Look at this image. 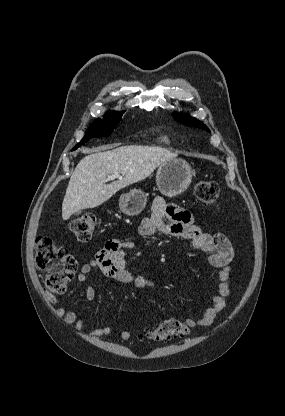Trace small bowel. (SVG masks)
<instances>
[{
    "mask_svg": "<svg viewBox=\"0 0 285 416\" xmlns=\"http://www.w3.org/2000/svg\"><path fill=\"white\" fill-rule=\"evenodd\" d=\"M139 232L145 237L162 233L189 240L194 248L209 254V263L220 269L219 294L213 298L212 304L200 318H188L185 325L190 328L210 326L225 309L226 299L230 293L228 280L234 250L229 239L220 232L213 234L204 232L200 226L195 224L188 210L168 204L160 197L153 201L151 215L142 221ZM134 247L135 243L132 241L119 238L107 240L95 257L81 266L77 281L81 284L86 283L88 275L94 269H98L103 277L124 285H133L140 288L154 286L151 280L143 276H135L127 269L124 251ZM95 295V288L88 286L85 290V299L91 301L95 298ZM46 298L53 305L58 303V299L53 293H47ZM54 311L66 324L74 325L76 331L81 335L100 338L109 335L113 331L111 326H99L88 331L85 329L84 321L79 319L74 311L63 306L55 307ZM119 336L121 340L126 341L131 337V333L123 330Z\"/></svg>",
    "mask_w": 285,
    "mask_h": 416,
    "instance_id": "1",
    "label": "small bowel"
}]
</instances>
